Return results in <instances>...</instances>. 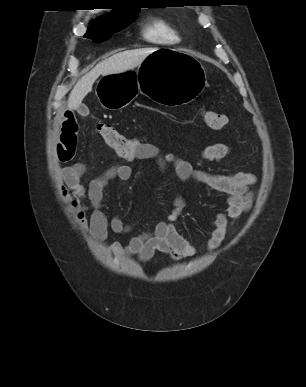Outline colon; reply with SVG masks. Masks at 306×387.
Segmentation results:
<instances>
[{
  "mask_svg": "<svg viewBox=\"0 0 306 387\" xmlns=\"http://www.w3.org/2000/svg\"><path fill=\"white\" fill-rule=\"evenodd\" d=\"M202 118L204 124L211 129H221L228 122L226 115L214 111H204ZM97 132L105 143L121 158L131 156L143 142L138 138L125 136L111 124L106 122L97 124Z\"/></svg>",
  "mask_w": 306,
  "mask_h": 387,
  "instance_id": "1",
  "label": "colon"
}]
</instances>
